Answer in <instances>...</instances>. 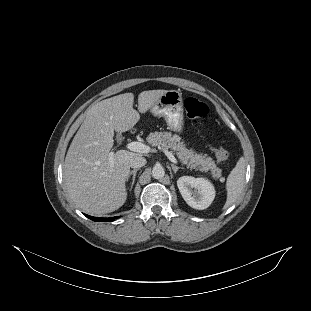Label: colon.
Instances as JSON below:
<instances>
[{
    "instance_id": "5ec220e1",
    "label": "colon",
    "mask_w": 311,
    "mask_h": 311,
    "mask_svg": "<svg viewBox=\"0 0 311 311\" xmlns=\"http://www.w3.org/2000/svg\"><path fill=\"white\" fill-rule=\"evenodd\" d=\"M184 108L188 118L195 123L205 121L209 114L208 106L195 97H187L184 100ZM213 151L219 163L226 164L228 162L229 154L225 148L217 146L213 148Z\"/></svg>"
}]
</instances>
